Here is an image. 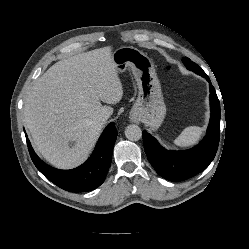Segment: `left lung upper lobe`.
<instances>
[{
  "mask_svg": "<svg viewBox=\"0 0 249 249\" xmlns=\"http://www.w3.org/2000/svg\"><path fill=\"white\" fill-rule=\"evenodd\" d=\"M182 61H183L184 65L186 66V68L189 69V70H192L194 72L202 70V68H200L197 64L192 62L187 57H184Z\"/></svg>",
  "mask_w": 249,
  "mask_h": 249,
  "instance_id": "1",
  "label": "left lung upper lobe"
}]
</instances>
